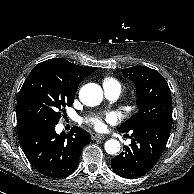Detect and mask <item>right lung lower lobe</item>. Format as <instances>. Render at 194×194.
I'll return each mask as SVG.
<instances>
[{
	"instance_id": "1",
	"label": "right lung lower lobe",
	"mask_w": 194,
	"mask_h": 194,
	"mask_svg": "<svg viewBox=\"0 0 194 194\" xmlns=\"http://www.w3.org/2000/svg\"><path fill=\"white\" fill-rule=\"evenodd\" d=\"M21 147L31 165L51 178L70 175L78 165L82 149L91 141L90 134L73 127L68 135L55 132V125L26 123L17 127Z\"/></svg>"
}]
</instances>
